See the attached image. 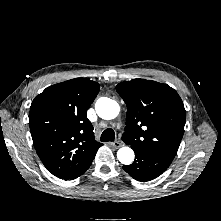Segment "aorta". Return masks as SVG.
Returning <instances> with one entry per match:
<instances>
[{
    "label": "aorta",
    "instance_id": "1",
    "mask_svg": "<svg viewBox=\"0 0 221 221\" xmlns=\"http://www.w3.org/2000/svg\"><path fill=\"white\" fill-rule=\"evenodd\" d=\"M95 109L98 116L106 120L116 118L120 111L119 104L106 97L97 100ZM134 157V152L130 147H122L117 151V158L124 165H130L134 161Z\"/></svg>",
    "mask_w": 221,
    "mask_h": 221
}]
</instances>
